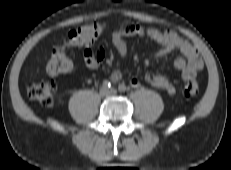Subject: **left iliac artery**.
I'll return each instance as SVG.
<instances>
[{
    "instance_id": "44dca946",
    "label": "left iliac artery",
    "mask_w": 231,
    "mask_h": 170,
    "mask_svg": "<svg viewBox=\"0 0 231 170\" xmlns=\"http://www.w3.org/2000/svg\"><path fill=\"white\" fill-rule=\"evenodd\" d=\"M118 90L119 92L123 93L126 91V86L124 84H119Z\"/></svg>"
}]
</instances>
